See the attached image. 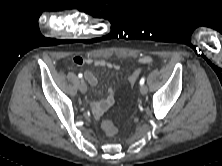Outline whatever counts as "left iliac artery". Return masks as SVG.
<instances>
[{"instance_id": "left-iliac-artery-1", "label": "left iliac artery", "mask_w": 222, "mask_h": 166, "mask_svg": "<svg viewBox=\"0 0 222 166\" xmlns=\"http://www.w3.org/2000/svg\"><path fill=\"white\" fill-rule=\"evenodd\" d=\"M145 83V78L142 77L141 80H140V85H143Z\"/></svg>"}]
</instances>
